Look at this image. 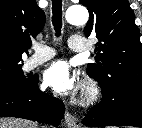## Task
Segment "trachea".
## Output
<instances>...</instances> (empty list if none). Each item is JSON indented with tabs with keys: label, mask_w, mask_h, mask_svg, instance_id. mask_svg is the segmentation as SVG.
Here are the masks:
<instances>
[{
	"label": "trachea",
	"mask_w": 142,
	"mask_h": 128,
	"mask_svg": "<svg viewBox=\"0 0 142 128\" xmlns=\"http://www.w3.org/2000/svg\"><path fill=\"white\" fill-rule=\"evenodd\" d=\"M52 23L55 30V35H61L62 28V0H52Z\"/></svg>",
	"instance_id": "obj_1"
}]
</instances>
